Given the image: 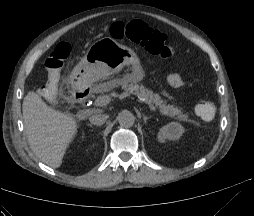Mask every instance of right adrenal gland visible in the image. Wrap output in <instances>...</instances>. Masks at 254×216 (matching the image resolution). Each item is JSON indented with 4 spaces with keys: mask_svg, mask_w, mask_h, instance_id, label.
I'll return each instance as SVG.
<instances>
[{
    "mask_svg": "<svg viewBox=\"0 0 254 216\" xmlns=\"http://www.w3.org/2000/svg\"><path fill=\"white\" fill-rule=\"evenodd\" d=\"M88 126L92 127V125H91V124H88Z\"/></svg>",
    "mask_w": 254,
    "mask_h": 216,
    "instance_id": "obj_1",
    "label": "right adrenal gland"
}]
</instances>
